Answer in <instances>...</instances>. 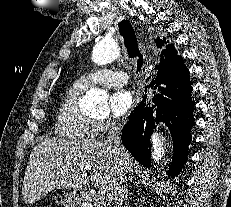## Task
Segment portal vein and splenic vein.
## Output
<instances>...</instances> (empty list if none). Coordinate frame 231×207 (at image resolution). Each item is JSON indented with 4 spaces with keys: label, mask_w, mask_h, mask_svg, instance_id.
Masks as SVG:
<instances>
[{
    "label": "portal vein and splenic vein",
    "mask_w": 231,
    "mask_h": 207,
    "mask_svg": "<svg viewBox=\"0 0 231 207\" xmlns=\"http://www.w3.org/2000/svg\"><path fill=\"white\" fill-rule=\"evenodd\" d=\"M95 196L100 201H103L105 199V193L103 191L95 192Z\"/></svg>",
    "instance_id": "obj_1"
}]
</instances>
